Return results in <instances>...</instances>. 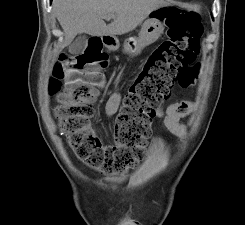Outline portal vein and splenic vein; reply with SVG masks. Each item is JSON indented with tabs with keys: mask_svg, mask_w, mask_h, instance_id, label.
<instances>
[{
	"mask_svg": "<svg viewBox=\"0 0 245 225\" xmlns=\"http://www.w3.org/2000/svg\"><path fill=\"white\" fill-rule=\"evenodd\" d=\"M104 18L105 19H115V15L114 14H108Z\"/></svg>",
	"mask_w": 245,
	"mask_h": 225,
	"instance_id": "obj_1",
	"label": "portal vein and splenic vein"
}]
</instances>
